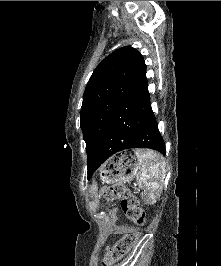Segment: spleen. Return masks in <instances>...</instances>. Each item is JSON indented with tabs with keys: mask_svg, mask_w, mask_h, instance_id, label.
Returning a JSON list of instances; mask_svg holds the SVG:
<instances>
[{
	"mask_svg": "<svg viewBox=\"0 0 221 266\" xmlns=\"http://www.w3.org/2000/svg\"><path fill=\"white\" fill-rule=\"evenodd\" d=\"M135 154L141 164L140 176L137 178L139 187L156 189L159 186V181H163L165 178V162L158 153L149 149H137Z\"/></svg>",
	"mask_w": 221,
	"mask_h": 266,
	"instance_id": "1",
	"label": "spleen"
}]
</instances>
